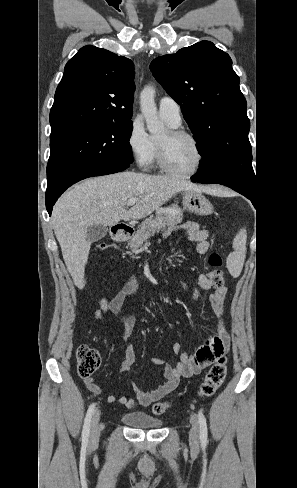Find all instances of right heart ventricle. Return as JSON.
I'll return each instance as SVG.
<instances>
[{"mask_svg":"<svg viewBox=\"0 0 297 488\" xmlns=\"http://www.w3.org/2000/svg\"><path fill=\"white\" fill-rule=\"evenodd\" d=\"M168 123V122H167ZM169 124V123H168ZM171 127H174L175 126H172L171 124H169ZM154 142V151H153V155H152V158H151V161L154 162L157 160V151H158V148H157V141L153 140Z\"/></svg>","mask_w":297,"mask_h":488,"instance_id":"e07e8e85","label":"right heart ventricle"}]
</instances>
